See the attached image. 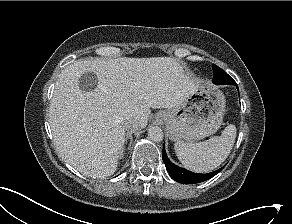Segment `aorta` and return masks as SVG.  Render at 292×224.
<instances>
[{"label": "aorta", "mask_w": 292, "mask_h": 224, "mask_svg": "<svg viewBox=\"0 0 292 224\" xmlns=\"http://www.w3.org/2000/svg\"><path fill=\"white\" fill-rule=\"evenodd\" d=\"M148 137L155 142H160L163 139V131L160 127L153 126L148 130Z\"/></svg>", "instance_id": "1"}]
</instances>
